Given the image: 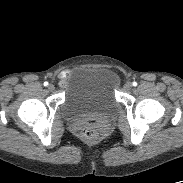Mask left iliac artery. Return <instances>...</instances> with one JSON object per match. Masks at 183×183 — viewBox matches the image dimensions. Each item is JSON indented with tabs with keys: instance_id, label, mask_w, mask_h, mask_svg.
<instances>
[{
	"instance_id": "1",
	"label": "left iliac artery",
	"mask_w": 183,
	"mask_h": 183,
	"mask_svg": "<svg viewBox=\"0 0 183 183\" xmlns=\"http://www.w3.org/2000/svg\"><path fill=\"white\" fill-rule=\"evenodd\" d=\"M133 86H137V82H133Z\"/></svg>"
}]
</instances>
